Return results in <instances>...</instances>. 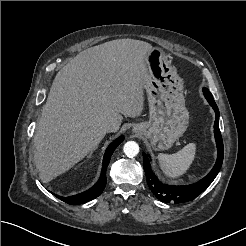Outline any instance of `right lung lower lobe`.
I'll list each match as a JSON object with an SVG mask.
<instances>
[{"label":"right lung lower lobe","mask_w":246,"mask_h":246,"mask_svg":"<svg viewBox=\"0 0 246 246\" xmlns=\"http://www.w3.org/2000/svg\"><path fill=\"white\" fill-rule=\"evenodd\" d=\"M124 137L120 136L118 139H116L113 143H111L109 145V147L107 148L105 155H104V159H103V166H102V172H101V176L98 180V182L89 190L77 194V195H73L70 197H61L58 196L56 194H54L57 198H59L60 200L71 204V205H79L85 202H88L96 197H98L102 191L104 190L106 183H107V179H106V169L107 166L109 164L110 158L112 153L114 152V150L116 149V147L123 142Z\"/></svg>","instance_id":"obj_1"}]
</instances>
